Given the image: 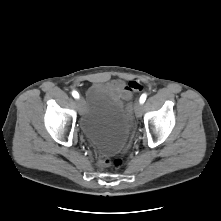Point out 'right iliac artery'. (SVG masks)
I'll return each mask as SVG.
<instances>
[{
	"label": "right iliac artery",
	"instance_id": "obj_1",
	"mask_svg": "<svg viewBox=\"0 0 221 221\" xmlns=\"http://www.w3.org/2000/svg\"><path fill=\"white\" fill-rule=\"evenodd\" d=\"M72 96H73L74 98H79V94H78L77 91H73V92H72Z\"/></svg>",
	"mask_w": 221,
	"mask_h": 221
}]
</instances>
